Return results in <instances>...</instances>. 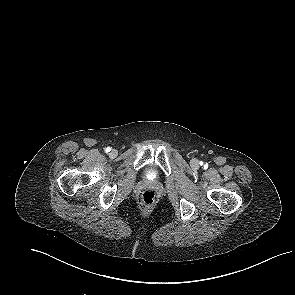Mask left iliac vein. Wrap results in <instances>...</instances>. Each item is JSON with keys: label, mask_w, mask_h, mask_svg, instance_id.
I'll return each mask as SVG.
<instances>
[{"label": "left iliac vein", "mask_w": 295, "mask_h": 295, "mask_svg": "<svg viewBox=\"0 0 295 295\" xmlns=\"http://www.w3.org/2000/svg\"><path fill=\"white\" fill-rule=\"evenodd\" d=\"M190 165H191V167L197 169L199 167V161L197 159H192L190 161Z\"/></svg>", "instance_id": "obj_1"}]
</instances>
